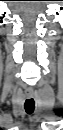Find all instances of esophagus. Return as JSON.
Here are the masks:
<instances>
[{"instance_id":"obj_1","label":"esophagus","mask_w":63,"mask_h":130,"mask_svg":"<svg viewBox=\"0 0 63 130\" xmlns=\"http://www.w3.org/2000/svg\"><path fill=\"white\" fill-rule=\"evenodd\" d=\"M33 96H34L33 93H27V97H28V98H32Z\"/></svg>"}]
</instances>
